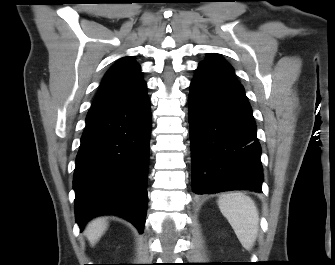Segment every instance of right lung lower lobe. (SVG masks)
Returning <instances> with one entry per match:
<instances>
[{
  "label": "right lung lower lobe",
  "mask_w": 335,
  "mask_h": 265,
  "mask_svg": "<svg viewBox=\"0 0 335 265\" xmlns=\"http://www.w3.org/2000/svg\"><path fill=\"white\" fill-rule=\"evenodd\" d=\"M150 135L146 92L130 101L90 108L73 180L81 231L91 218L114 214L143 232Z\"/></svg>",
  "instance_id": "obj_1"
}]
</instances>
